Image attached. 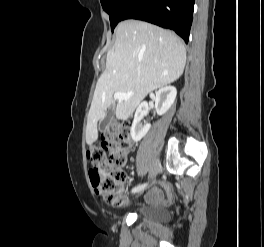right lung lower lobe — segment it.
Masks as SVG:
<instances>
[{"mask_svg":"<svg viewBox=\"0 0 264 247\" xmlns=\"http://www.w3.org/2000/svg\"><path fill=\"white\" fill-rule=\"evenodd\" d=\"M195 0H134L122 20L137 19L174 30L186 43Z\"/></svg>","mask_w":264,"mask_h":247,"instance_id":"1","label":"right lung lower lobe"}]
</instances>
